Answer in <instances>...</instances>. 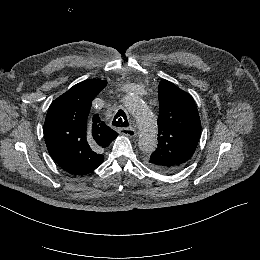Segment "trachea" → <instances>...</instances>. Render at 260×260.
<instances>
[{
    "mask_svg": "<svg viewBox=\"0 0 260 260\" xmlns=\"http://www.w3.org/2000/svg\"><path fill=\"white\" fill-rule=\"evenodd\" d=\"M112 124H113V126H116V127H127L129 125L127 116L123 110L120 109L117 112V114L115 115V117L113 119Z\"/></svg>",
    "mask_w": 260,
    "mask_h": 260,
    "instance_id": "trachea-1",
    "label": "trachea"
}]
</instances>
